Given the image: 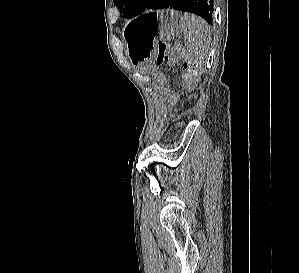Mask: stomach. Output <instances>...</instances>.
<instances>
[{"label":"stomach","mask_w":299,"mask_h":273,"mask_svg":"<svg viewBox=\"0 0 299 273\" xmlns=\"http://www.w3.org/2000/svg\"><path fill=\"white\" fill-rule=\"evenodd\" d=\"M182 32L181 18L174 10L150 11L130 21L123 30L126 52L131 62L141 67L143 74H163V69H152L155 43L158 39L172 40Z\"/></svg>","instance_id":"obj_1"}]
</instances>
